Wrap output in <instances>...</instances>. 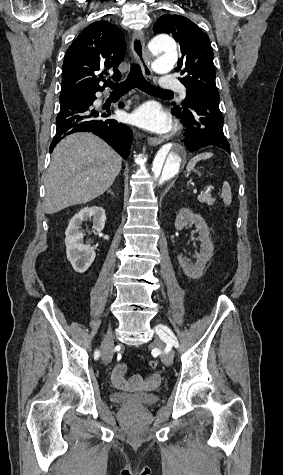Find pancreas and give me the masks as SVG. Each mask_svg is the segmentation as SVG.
<instances>
[{"mask_svg": "<svg viewBox=\"0 0 283 475\" xmlns=\"http://www.w3.org/2000/svg\"><path fill=\"white\" fill-rule=\"evenodd\" d=\"M197 200L202 202V204H208V206H213L215 202L214 198H211V194H201V196H198Z\"/></svg>", "mask_w": 283, "mask_h": 475, "instance_id": "1", "label": "pancreas"}]
</instances>
